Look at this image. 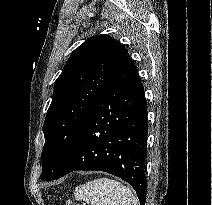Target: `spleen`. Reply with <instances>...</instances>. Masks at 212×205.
<instances>
[{"label":"spleen","mask_w":212,"mask_h":205,"mask_svg":"<svg viewBox=\"0 0 212 205\" xmlns=\"http://www.w3.org/2000/svg\"><path fill=\"white\" fill-rule=\"evenodd\" d=\"M74 196L90 205H139L129 187L109 178H100L76 187Z\"/></svg>","instance_id":"1"}]
</instances>
